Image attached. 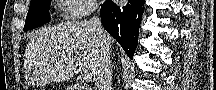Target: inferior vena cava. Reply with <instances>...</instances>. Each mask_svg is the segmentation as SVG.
Masks as SVG:
<instances>
[{
  "mask_svg": "<svg viewBox=\"0 0 216 90\" xmlns=\"http://www.w3.org/2000/svg\"><path fill=\"white\" fill-rule=\"evenodd\" d=\"M96 10H99V6L92 4L90 12L95 14ZM90 24L92 32H95L97 38H99V60L92 66L91 70L95 82V90H112L113 66L110 60V36L105 32L99 16H92Z\"/></svg>",
  "mask_w": 216,
  "mask_h": 90,
  "instance_id": "obj_1",
  "label": "inferior vena cava"
}]
</instances>
